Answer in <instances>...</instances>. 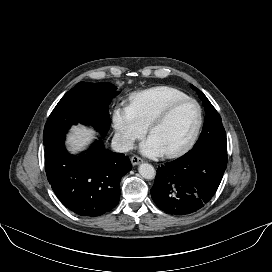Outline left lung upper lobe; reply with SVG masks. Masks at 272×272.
Listing matches in <instances>:
<instances>
[{
	"mask_svg": "<svg viewBox=\"0 0 272 272\" xmlns=\"http://www.w3.org/2000/svg\"><path fill=\"white\" fill-rule=\"evenodd\" d=\"M191 87L198 93L206 111L202 133L193 148H210L211 150L227 153L226 133L219 113L199 89L193 85Z\"/></svg>",
	"mask_w": 272,
	"mask_h": 272,
	"instance_id": "obj_1",
	"label": "left lung upper lobe"
}]
</instances>
